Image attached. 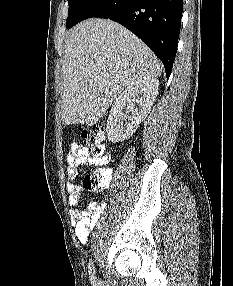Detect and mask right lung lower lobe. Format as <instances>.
Returning <instances> with one entry per match:
<instances>
[{
  "label": "right lung lower lobe",
  "mask_w": 233,
  "mask_h": 286,
  "mask_svg": "<svg viewBox=\"0 0 233 286\" xmlns=\"http://www.w3.org/2000/svg\"><path fill=\"white\" fill-rule=\"evenodd\" d=\"M182 5L183 0H92L73 26L91 17L120 23L161 59L168 79L177 50Z\"/></svg>",
  "instance_id": "right-lung-lower-lobe-1"
}]
</instances>
